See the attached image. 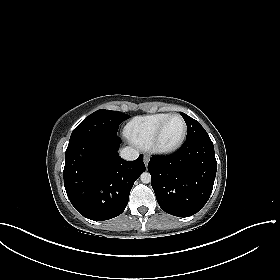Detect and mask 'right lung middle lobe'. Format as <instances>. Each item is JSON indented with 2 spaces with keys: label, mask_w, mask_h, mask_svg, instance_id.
Masks as SVG:
<instances>
[{
  "label": "right lung middle lobe",
  "mask_w": 280,
  "mask_h": 280,
  "mask_svg": "<svg viewBox=\"0 0 280 280\" xmlns=\"http://www.w3.org/2000/svg\"><path fill=\"white\" fill-rule=\"evenodd\" d=\"M128 118L130 116L119 111L98 110L74 129L69 142L86 136H116L119 125Z\"/></svg>",
  "instance_id": "dd1d6c3e"
}]
</instances>
